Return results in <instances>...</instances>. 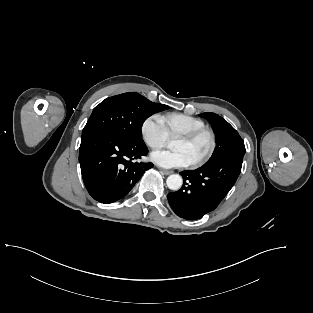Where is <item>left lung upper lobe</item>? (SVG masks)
Returning a JSON list of instances; mask_svg holds the SVG:
<instances>
[{"instance_id":"obj_1","label":"left lung upper lobe","mask_w":313,"mask_h":313,"mask_svg":"<svg viewBox=\"0 0 313 313\" xmlns=\"http://www.w3.org/2000/svg\"><path fill=\"white\" fill-rule=\"evenodd\" d=\"M199 116L206 118L212 124L216 133L217 145L207 163L231 156H244V141L225 119L210 112L199 114Z\"/></svg>"}]
</instances>
